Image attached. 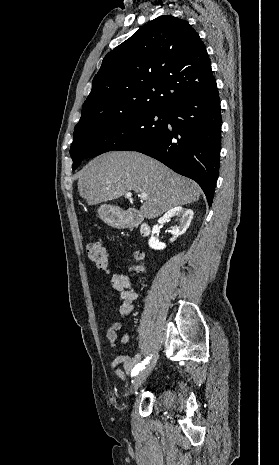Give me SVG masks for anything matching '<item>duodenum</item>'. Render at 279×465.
<instances>
[{
	"label": "duodenum",
	"instance_id": "410a0bca",
	"mask_svg": "<svg viewBox=\"0 0 279 465\" xmlns=\"http://www.w3.org/2000/svg\"><path fill=\"white\" fill-rule=\"evenodd\" d=\"M123 226L127 228L140 226V232L143 237L150 234V227L142 222L140 216L135 212L128 213L123 219Z\"/></svg>",
	"mask_w": 279,
	"mask_h": 465
}]
</instances>
